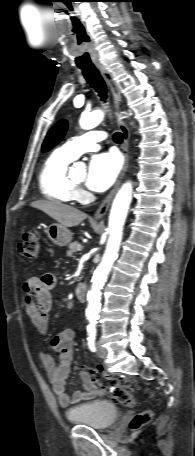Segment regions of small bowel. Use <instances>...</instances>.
I'll list each match as a JSON object with an SVG mask.
<instances>
[{
    "label": "small bowel",
    "instance_id": "obj_1",
    "mask_svg": "<svg viewBox=\"0 0 195 456\" xmlns=\"http://www.w3.org/2000/svg\"><path fill=\"white\" fill-rule=\"evenodd\" d=\"M54 274L46 273L41 277H30L23 285L24 308L26 314L35 325L40 336H45L49 328V314L52 308L50 290L56 285ZM75 332L64 328L45 345L41 352V362L52 385L53 392L60 406L68 407L82 401L102 397L103 389L98 388L86 370L80 372L83 390H77L69 396L65 385L74 354ZM58 353V363L52 356Z\"/></svg>",
    "mask_w": 195,
    "mask_h": 456
}]
</instances>
